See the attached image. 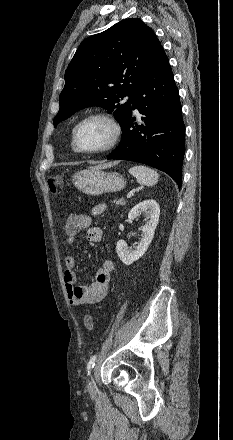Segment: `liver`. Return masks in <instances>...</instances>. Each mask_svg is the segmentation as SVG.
Segmentation results:
<instances>
[{"label": "liver", "instance_id": "1", "mask_svg": "<svg viewBox=\"0 0 233 440\" xmlns=\"http://www.w3.org/2000/svg\"><path fill=\"white\" fill-rule=\"evenodd\" d=\"M112 165H113V163H107V164H104V165H99L96 168L101 169L102 167H111Z\"/></svg>", "mask_w": 233, "mask_h": 440}]
</instances>
